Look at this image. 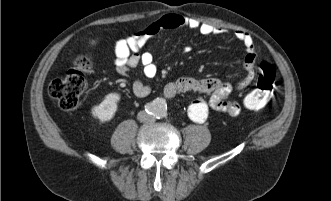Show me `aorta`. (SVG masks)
Returning a JSON list of instances; mask_svg holds the SVG:
<instances>
[{
	"instance_id": "aorta-1",
	"label": "aorta",
	"mask_w": 331,
	"mask_h": 201,
	"mask_svg": "<svg viewBox=\"0 0 331 201\" xmlns=\"http://www.w3.org/2000/svg\"><path fill=\"white\" fill-rule=\"evenodd\" d=\"M150 111L155 117H163L167 111V104L163 99H155L151 103Z\"/></svg>"
}]
</instances>
